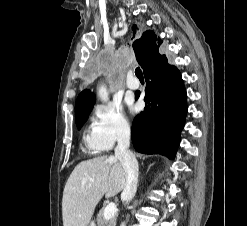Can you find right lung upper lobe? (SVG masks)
Segmentation results:
<instances>
[{
	"label": "right lung upper lobe",
	"mask_w": 247,
	"mask_h": 226,
	"mask_svg": "<svg viewBox=\"0 0 247 226\" xmlns=\"http://www.w3.org/2000/svg\"><path fill=\"white\" fill-rule=\"evenodd\" d=\"M132 34V39L138 38L134 41L133 48L137 61L144 70L146 54L154 48H159L162 44V40L157 37L154 31H143V28L137 25L133 26ZM93 102V94L88 89L83 90L75 103V117L88 111Z\"/></svg>",
	"instance_id": "right-lung-upper-lobe-1"
}]
</instances>
